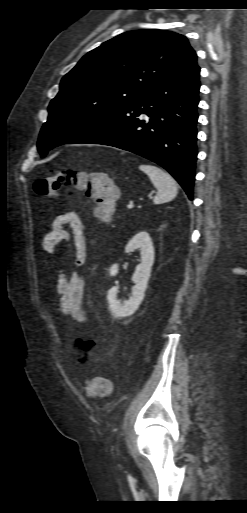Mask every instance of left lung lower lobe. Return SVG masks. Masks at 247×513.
Here are the masks:
<instances>
[{"label": "left lung lower lobe", "mask_w": 247, "mask_h": 513, "mask_svg": "<svg viewBox=\"0 0 247 513\" xmlns=\"http://www.w3.org/2000/svg\"><path fill=\"white\" fill-rule=\"evenodd\" d=\"M199 73L195 56L177 75L69 143L109 145L147 158L165 168L192 200Z\"/></svg>", "instance_id": "left-lung-lower-lobe-1"}]
</instances>
